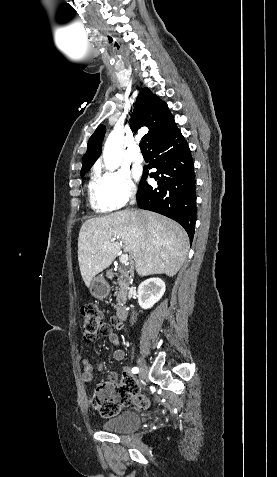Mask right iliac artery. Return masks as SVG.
<instances>
[{
  "label": "right iliac artery",
  "instance_id": "1",
  "mask_svg": "<svg viewBox=\"0 0 277 477\" xmlns=\"http://www.w3.org/2000/svg\"><path fill=\"white\" fill-rule=\"evenodd\" d=\"M138 371H139V369H138L137 367H134V368L132 369V372L135 373V374L138 373Z\"/></svg>",
  "mask_w": 277,
  "mask_h": 477
}]
</instances>
